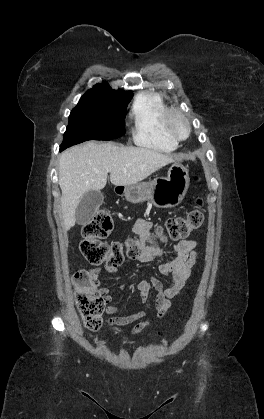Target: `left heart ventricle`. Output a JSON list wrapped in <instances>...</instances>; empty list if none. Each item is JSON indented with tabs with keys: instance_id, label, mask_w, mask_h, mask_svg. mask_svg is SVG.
<instances>
[{
	"instance_id": "obj_1",
	"label": "left heart ventricle",
	"mask_w": 264,
	"mask_h": 419,
	"mask_svg": "<svg viewBox=\"0 0 264 419\" xmlns=\"http://www.w3.org/2000/svg\"><path fill=\"white\" fill-rule=\"evenodd\" d=\"M172 125L179 136H184L186 134V127L180 119H174Z\"/></svg>"
}]
</instances>
